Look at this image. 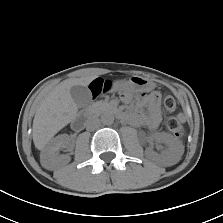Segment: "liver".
Instances as JSON below:
<instances>
[{
  "label": "liver",
  "instance_id": "1",
  "mask_svg": "<svg viewBox=\"0 0 223 223\" xmlns=\"http://www.w3.org/2000/svg\"><path fill=\"white\" fill-rule=\"evenodd\" d=\"M97 76L67 79L56 86L41 102L33 120V142L43 150L48 142L76 116L78 107L71 97L75 85L87 86Z\"/></svg>",
  "mask_w": 223,
  "mask_h": 223
}]
</instances>
